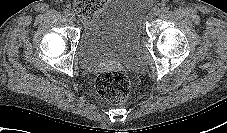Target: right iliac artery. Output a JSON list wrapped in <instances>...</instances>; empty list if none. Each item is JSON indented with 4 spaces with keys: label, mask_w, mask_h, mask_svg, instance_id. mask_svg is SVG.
<instances>
[{
    "label": "right iliac artery",
    "mask_w": 227,
    "mask_h": 133,
    "mask_svg": "<svg viewBox=\"0 0 227 133\" xmlns=\"http://www.w3.org/2000/svg\"><path fill=\"white\" fill-rule=\"evenodd\" d=\"M63 13H64L65 16H69L71 14L68 9H65Z\"/></svg>",
    "instance_id": "82829eb1"
}]
</instances>
